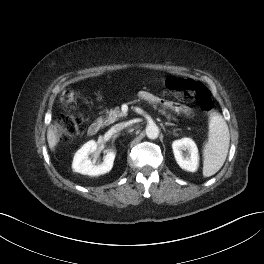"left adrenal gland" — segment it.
<instances>
[{"label":"left adrenal gland","instance_id":"left-adrenal-gland-1","mask_svg":"<svg viewBox=\"0 0 264 264\" xmlns=\"http://www.w3.org/2000/svg\"><path fill=\"white\" fill-rule=\"evenodd\" d=\"M165 125H166V126H175V124L170 123V122H166Z\"/></svg>","mask_w":264,"mask_h":264}]
</instances>
